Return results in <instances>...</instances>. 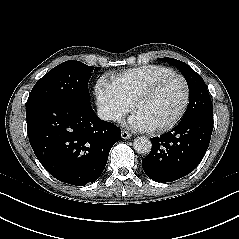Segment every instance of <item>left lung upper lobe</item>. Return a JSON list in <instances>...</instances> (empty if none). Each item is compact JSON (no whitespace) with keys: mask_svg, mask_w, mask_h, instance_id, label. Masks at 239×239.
<instances>
[{"mask_svg":"<svg viewBox=\"0 0 239 239\" xmlns=\"http://www.w3.org/2000/svg\"><path fill=\"white\" fill-rule=\"evenodd\" d=\"M177 67L184 75L189 87V105L187 111L181 121L198 116L200 114H213V105L207 87L201 76L196 73L186 63L172 59L161 58Z\"/></svg>","mask_w":239,"mask_h":239,"instance_id":"left-lung-upper-lobe-1","label":"left lung upper lobe"}]
</instances>
